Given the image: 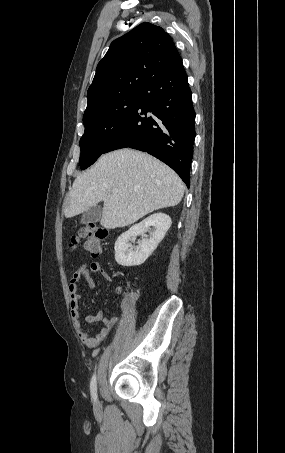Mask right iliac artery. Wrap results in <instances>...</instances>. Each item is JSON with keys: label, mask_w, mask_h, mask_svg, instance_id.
Returning a JSON list of instances; mask_svg holds the SVG:
<instances>
[{"label": "right iliac artery", "mask_w": 285, "mask_h": 453, "mask_svg": "<svg viewBox=\"0 0 285 453\" xmlns=\"http://www.w3.org/2000/svg\"><path fill=\"white\" fill-rule=\"evenodd\" d=\"M90 392H91L92 399L94 401H96L97 400V382H96L95 374L92 376V379L90 382Z\"/></svg>", "instance_id": "obj_1"}]
</instances>
